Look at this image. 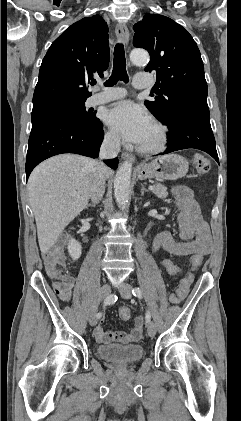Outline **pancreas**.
<instances>
[{
  "instance_id": "1",
  "label": "pancreas",
  "mask_w": 241,
  "mask_h": 421,
  "mask_svg": "<svg viewBox=\"0 0 241 421\" xmlns=\"http://www.w3.org/2000/svg\"><path fill=\"white\" fill-rule=\"evenodd\" d=\"M154 190L152 191L158 198H166L168 196L167 188L160 183L153 185Z\"/></svg>"
}]
</instances>
